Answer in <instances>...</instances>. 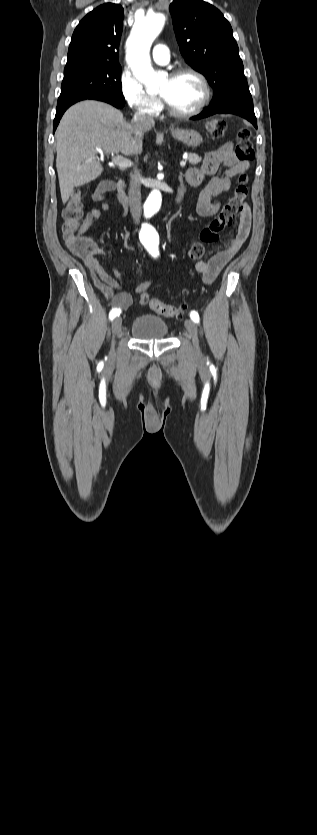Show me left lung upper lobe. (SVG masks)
Instances as JSON below:
<instances>
[{"label":"left lung upper lobe","mask_w":317,"mask_h":835,"mask_svg":"<svg viewBox=\"0 0 317 835\" xmlns=\"http://www.w3.org/2000/svg\"><path fill=\"white\" fill-rule=\"evenodd\" d=\"M169 9L182 56L214 90L210 106L253 104L238 45L223 14L201 0H176Z\"/></svg>","instance_id":"1"}]
</instances>
